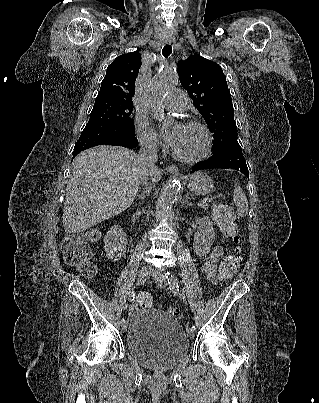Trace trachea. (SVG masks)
Wrapping results in <instances>:
<instances>
[{"label": "trachea", "instance_id": "trachea-1", "mask_svg": "<svg viewBox=\"0 0 319 403\" xmlns=\"http://www.w3.org/2000/svg\"><path fill=\"white\" fill-rule=\"evenodd\" d=\"M172 53V46L170 44H167L164 46L162 49V54L164 57H168Z\"/></svg>", "mask_w": 319, "mask_h": 403}]
</instances>
